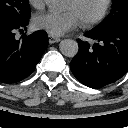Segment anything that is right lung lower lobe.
I'll list each match as a JSON object with an SVG mask.
<instances>
[{"label":"right lung lower lobe","mask_w":128,"mask_h":128,"mask_svg":"<svg viewBox=\"0 0 128 128\" xmlns=\"http://www.w3.org/2000/svg\"><path fill=\"white\" fill-rule=\"evenodd\" d=\"M28 21L20 25L0 24V82L15 83L28 77L36 68L48 39L44 31H37L22 39L15 38L16 30L25 28Z\"/></svg>","instance_id":"right-lung-lower-lobe-1"}]
</instances>
